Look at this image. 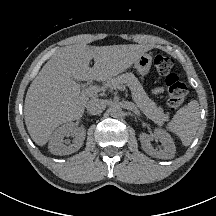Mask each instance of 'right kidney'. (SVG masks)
<instances>
[{"mask_svg":"<svg viewBox=\"0 0 216 216\" xmlns=\"http://www.w3.org/2000/svg\"><path fill=\"white\" fill-rule=\"evenodd\" d=\"M72 136V143L66 145L63 143L64 137ZM86 130L83 127H75L74 123L69 122L58 129L49 139L48 149L54 155H69L78 151L85 140Z\"/></svg>","mask_w":216,"mask_h":216,"instance_id":"right-kidney-1","label":"right kidney"}]
</instances>
